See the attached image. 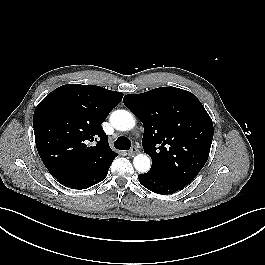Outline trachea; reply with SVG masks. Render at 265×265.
Returning a JSON list of instances; mask_svg holds the SVG:
<instances>
[{
	"instance_id": "3493384b",
	"label": "trachea",
	"mask_w": 265,
	"mask_h": 265,
	"mask_svg": "<svg viewBox=\"0 0 265 265\" xmlns=\"http://www.w3.org/2000/svg\"><path fill=\"white\" fill-rule=\"evenodd\" d=\"M115 147L119 150H129L131 142L127 137L121 136L115 141Z\"/></svg>"
}]
</instances>
